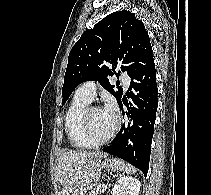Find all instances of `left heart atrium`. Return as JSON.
<instances>
[{
    "mask_svg": "<svg viewBox=\"0 0 211 195\" xmlns=\"http://www.w3.org/2000/svg\"><path fill=\"white\" fill-rule=\"evenodd\" d=\"M107 113L114 115L115 105L112 101H107L105 107L103 108Z\"/></svg>",
    "mask_w": 211,
    "mask_h": 195,
    "instance_id": "left-heart-atrium-1",
    "label": "left heart atrium"
}]
</instances>
